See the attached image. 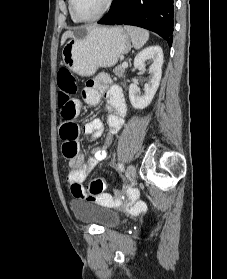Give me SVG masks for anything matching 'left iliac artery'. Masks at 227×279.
I'll use <instances>...</instances> for the list:
<instances>
[{"mask_svg":"<svg viewBox=\"0 0 227 279\" xmlns=\"http://www.w3.org/2000/svg\"><path fill=\"white\" fill-rule=\"evenodd\" d=\"M118 168H119L120 171H123V170H124L123 164L119 163V164H118Z\"/></svg>","mask_w":227,"mask_h":279,"instance_id":"left-iliac-artery-1","label":"left iliac artery"}]
</instances>
